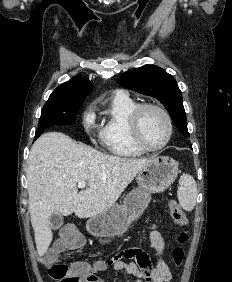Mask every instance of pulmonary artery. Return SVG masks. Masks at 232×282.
<instances>
[{
  "instance_id": "e3ab8cb5",
  "label": "pulmonary artery",
  "mask_w": 232,
  "mask_h": 282,
  "mask_svg": "<svg viewBox=\"0 0 232 282\" xmlns=\"http://www.w3.org/2000/svg\"><path fill=\"white\" fill-rule=\"evenodd\" d=\"M118 93H123V91H118Z\"/></svg>"
}]
</instances>
